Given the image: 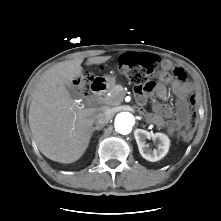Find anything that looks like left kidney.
<instances>
[{
  "label": "left kidney",
  "instance_id": "1",
  "mask_svg": "<svg viewBox=\"0 0 221 221\" xmlns=\"http://www.w3.org/2000/svg\"><path fill=\"white\" fill-rule=\"evenodd\" d=\"M135 139L141 156L150 161L155 162L162 159L168 152L170 147V139L163 133H152L143 129H137L134 133ZM153 138L158 140L157 149L150 150L146 145V139Z\"/></svg>",
  "mask_w": 221,
  "mask_h": 221
}]
</instances>
